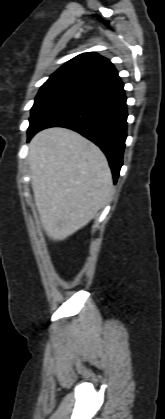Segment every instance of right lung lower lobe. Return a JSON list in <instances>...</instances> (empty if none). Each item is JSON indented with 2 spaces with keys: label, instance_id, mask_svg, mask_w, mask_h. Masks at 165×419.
<instances>
[{
  "label": "right lung lower lobe",
  "instance_id": "obj_1",
  "mask_svg": "<svg viewBox=\"0 0 165 419\" xmlns=\"http://www.w3.org/2000/svg\"><path fill=\"white\" fill-rule=\"evenodd\" d=\"M123 86L118 81L53 111L28 134V140L48 127L59 126L77 131L102 149L116 183L127 137V105Z\"/></svg>",
  "mask_w": 165,
  "mask_h": 419
}]
</instances>
